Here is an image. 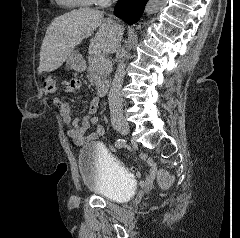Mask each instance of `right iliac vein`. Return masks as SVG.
Instances as JSON below:
<instances>
[{
    "instance_id": "obj_1",
    "label": "right iliac vein",
    "mask_w": 240,
    "mask_h": 238,
    "mask_svg": "<svg viewBox=\"0 0 240 238\" xmlns=\"http://www.w3.org/2000/svg\"><path fill=\"white\" fill-rule=\"evenodd\" d=\"M115 128L122 135H127L130 131L128 123L123 121V120H120V121L116 122Z\"/></svg>"
}]
</instances>
